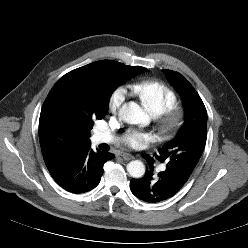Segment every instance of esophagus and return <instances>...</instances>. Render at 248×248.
<instances>
[{"label": "esophagus", "instance_id": "obj_1", "mask_svg": "<svg viewBox=\"0 0 248 248\" xmlns=\"http://www.w3.org/2000/svg\"><path fill=\"white\" fill-rule=\"evenodd\" d=\"M117 156L121 157L122 159L127 160V161L134 158L131 154L125 153V152H120L117 154Z\"/></svg>", "mask_w": 248, "mask_h": 248}]
</instances>
